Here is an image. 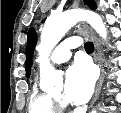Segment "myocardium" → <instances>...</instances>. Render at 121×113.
<instances>
[{
    "label": "myocardium",
    "mask_w": 121,
    "mask_h": 113,
    "mask_svg": "<svg viewBox=\"0 0 121 113\" xmlns=\"http://www.w3.org/2000/svg\"><path fill=\"white\" fill-rule=\"evenodd\" d=\"M52 104L56 107L58 110H63L66 108V104L59 98L54 97L51 95L50 97Z\"/></svg>",
    "instance_id": "obj_1"
}]
</instances>
